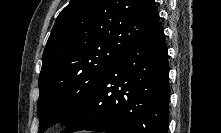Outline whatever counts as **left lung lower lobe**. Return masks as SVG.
Here are the masks:
<instances>
[{"label":"left lung lower lobe","mask_w":221,"mask_h":133,"mask_svg":"<svg viewBox=\"0 0 221 133\" xmlns=\"http://www.w3.org/2000/svg\"><path fill=\"white\" fill-rule=\"evenodd\" d=\"M168 73L167 46L158 21L110 65L63 132L167 133Z\"/></svg>","instance_id":"obj_1"}]
</instances>
